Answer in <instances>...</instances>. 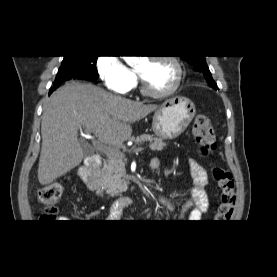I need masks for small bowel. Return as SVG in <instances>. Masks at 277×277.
<instances>
[{
    "instance_id": "c3829d8e",
    "label": "small bowel",
    "mask_w": 277,
    "mask_h": 277,
    "mask_svg": "<svg viewBox=\"0 0 277 277\" xmlns=\"http://www.w3.org/2000/svg\"><path fill=\"white\" fill-rule=\"evenodd\" d=\"M149 165L152 170H157L160 166V161L157 158H153ZM188 166L193 180L190 190L182 193L175 199L160 196L158 202L166 209L172 210L179 201L187 197L183 206V215H187L190 220H200L209 207V200L206 192L208 176L205 168L198 161L189 159ZM127 204L128 200L126 199L116 202L111 208L110 219L119 218Z\"/></svg>"
}]
</instances>
